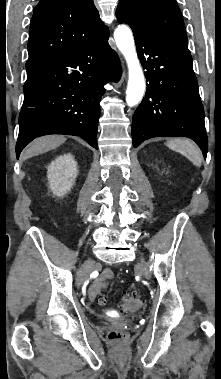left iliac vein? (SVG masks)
Segmentation results:
<instances>
[{
  "instance_id": "1",
  "label": "left iliac vein",
  "mask_w": 221,
  "mask_h": 379,
  "mask_svg": "<svg viewBox=\"0 0 221 379\" xmlns=\"http://www.w3.org/2000/svg\"><path fill=\"white\" fill-rule=\"evenodd\" d=\"M140 268H141L143 274H144L147 278H149V277H150L149 272H148L147 268L145 267V265H144L143 263L140 264Z\"/></svg>"
}]
</instances>
